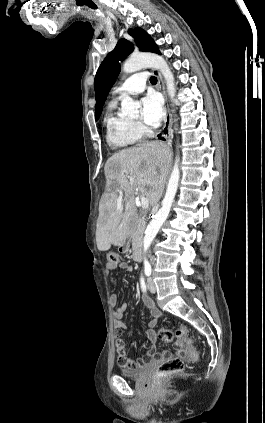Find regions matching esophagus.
Returning <instances> with one entry per match:
<instances>
[{
  "label": "esophagus",
  "mask_w": 265,
  "mask_h": 423,
  "mask_svg": "<svg viewBox=\"0 0 265 423\" xmlns=\"http://www.w3.org/2000/svg\"><path fill=\"white\" fill-rule=\"evenodd\" d=\"M152 72L158 79L157 86H158V89L163 94L164 102H165L166 116H165L164 125H163V128H162V136L166 140L171 141V139L173 137L172 118H171V114H170V111H169V108H168V105H167V96H166V92H165L164 82H163L161 74L156 69H153Z\"/></svg>",
  "instance_id": "obj_1"
}]
</instances>
